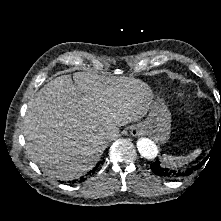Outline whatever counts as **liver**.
Instances as JSON below:
<instances>
[{
    "label": "liver",
    "mask_w": 221,
    "mask_h": 221,
    "mask_svg": "<svg viewBox=\"0 0 221 221\" xmlns=\"http://www.w3.org/2000/svg\"><path fill=\"white\" fill-rule=\"evenodd\" d=\"M149 86L129 77L76 72L47 83L30 99L23 134L27 153L60 180L93 168L109 140L104 133L137 122L151 107Z\"/></svg>",
    "instance_id": "1"
}]
</instances>
